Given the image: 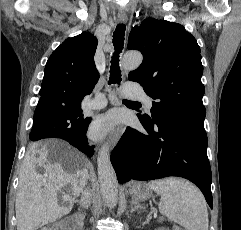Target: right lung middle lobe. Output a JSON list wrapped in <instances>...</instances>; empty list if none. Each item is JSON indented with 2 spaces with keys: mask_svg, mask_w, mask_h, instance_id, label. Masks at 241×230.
<instances>
[{
  "mask_svg": "<svg viewBox=\"0 0 241 230\" xmlns=\"http://www.w3.org/2000/svg\"><path fill=\"white\" fill-rule=\"evenodd\" d=\"M89 118L83 116L81 106L72 108H55L39 115L34 114V124L41 127L38 133H30V139L37 141L53 137L51 134L79 133L89 123Z\"/></svg>",
  "mask_w": 241,
  "mask_h": 230,
  "instance_id": "obj_1",
  "label": "right lung middle lobe"
}]
</instances>
